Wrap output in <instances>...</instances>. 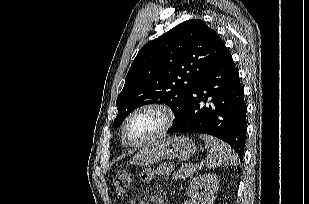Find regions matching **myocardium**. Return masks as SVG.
<instances>
[{"instance_id":"f54148a6","label":"myocardium","mask_w":309,"mask_h":204,"mask_svg":"<svg viewBox=\"0 0 309 204\" xmlns=\"http://www.w3.org/2000/svg\"><path fill=\"white\" fill-rule=\"evenodd\" d=\"M148 110L157 111L162 115V118H163L162 125L157 131H155L153 134L146 137L145 139H142L140 141L129 140L126 136V127H127L129 120L133 116L137 115L138 113L143 112V111H148ZM174 120H175L174 111L168 105L163 104V103H157V102L142 104L136 107L134 110H132L124 119L122 126H121V136H122L124 143L129 146H135V147L142 146L164 135L166 132H168L170 128L172 127Z\"/></svg>"}]
</instances>
